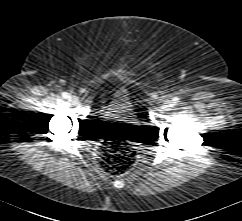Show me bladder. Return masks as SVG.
Instances as JSON below:
<instances>
[{
    "instance_id": "bladder-1",
    "label": "bladder",
    "mask_w": 242,
    "mask_h": 221,
    "mask_svg": "<svg viewBox=\"0 0 242 221\" xmlns=\"http://www.w3.org/2000/svg\"><path fill=\"white\" fill-rule=\"evenodd\" d=\"M132 110V106L125 102H112L108 107L110 115L127 114Z\"/></svg>"
}]
</instances>
